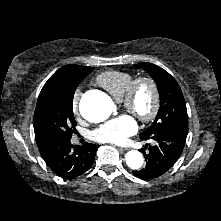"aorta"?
<instances>
[{
	"instance_id": "obj_1",
	"label": "aorta",
	"mask_w": 221,
	"mask_h": 221,
	"mask_svg": "<svg viewBox=\"0 0 221 221\" xmlns=\"http://www.w3.org/2000/svg\"><path fill=\"white\" fill-rule=\"evenodd\" d=\"M80 113L90 122H102L114 111V103L104 93L85 95L80 101ZM126 164L131 169H139L144 162L143 155L137 150H131L125 155Z\"/></svg>"
}]
</instances>
